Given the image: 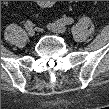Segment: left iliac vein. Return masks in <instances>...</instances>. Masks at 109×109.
<instances>
[{"instance_id":"left-iliac-vein-1","label":"left iliac vein","mask_w":109,"mask_h":109,"mask_svg":"<svg viewBox=\"0 0 109 109\" xmlns=\"http://www.w3.org/2000/svg\"><path fill=\"white\" fill-rule=\"evenodd\" d=\"M48 29L55 33H64L66 32V26L62 23H51L48 25Z\"/></svg>"}]
</instances>
